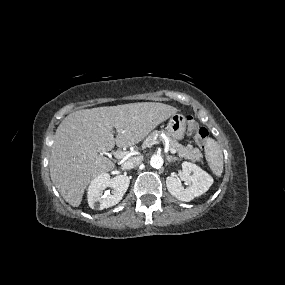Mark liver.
I'll list each match as a JSON object with an SVG mask.
<instances>
[{
	"mask_svg": "<svg viewBox=\"0 0 285 285\" xmlns=\"http://www.w3.org/2000/svg\"><path fill=\"white\" fill-rule=\"evenodd\" d=\"M176 112L175 107L163 103L138 102L69 114L58 126L51 148L53 184L67 203L78 207L92 179L115 167L101 153L112 150L115 143L124 148L139 143Z\"/></svg>",
	"mask_w": 285,
	"mask_h": 285,
	"instance_id": "obj_1",
	"label": "liver"
}]
</instances>
